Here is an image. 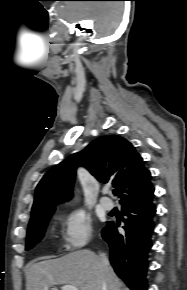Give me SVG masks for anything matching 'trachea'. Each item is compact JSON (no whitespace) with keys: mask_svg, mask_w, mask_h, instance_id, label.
Masks as SVG:
<instances>
[{"mask_svg":"<svg viewBox=\"0 0 187 290\" xmlns=\"http://www.w3.org/2000/svg\"><path fill=\"white\" fill-rule=\"evenodd\" d=\"M113 194H114V195H117L118 192H117L116 190H113Z\"/></svg>","mask_w":187,"mask_h":290,"instance_id":"obj_1","label":"trachea"}]
</instances>
